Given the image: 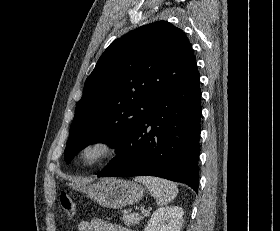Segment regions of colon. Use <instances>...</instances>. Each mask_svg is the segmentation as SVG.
I'll list each match as a JSON object with an SVG mask.
<instances>
[{
	"label": "colon",
	"mask_w": 280,
	"mask_h": 231,
	"mask_svg": "<svg viewBox=\"0 0 280 231\" xmlns=\"http://www.w3.org/2000/svg\"><path fill=\"white\" fill-rule=\"evenodd\" d=\"M59 202L62 208V213H74V200L70 193L61 192Z\"/></svg>",
	"instance_id": "obj_1"
}]
</instances>
